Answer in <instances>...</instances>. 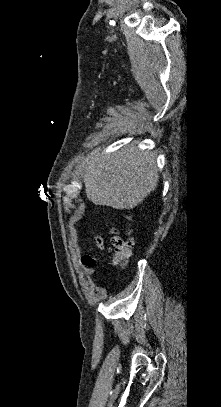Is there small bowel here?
Masks as SVG:
<instances>
[{
    "label": "small bowel",
    "instance_id": "c3829d8e",
    "mask_svg": "<svg viewBox=\"0 0 221 407\" xmlns=\"http://www.w3.org/2000/svg\"><path fill=\"white\" fill-rule=\"evenodd\" d=\"M95 245L98 250V253L100 254L103 252L105 248L104 241L101 237L95 236L94 237ZM99 254H92L91 249H87L85 253L81 257V267L83 271L88 275V276H94L99 273V270L95 268V265L98 260ZM90 285V283H87Z\"/></svg>",
    "mask_w": 221,
    "mask_h": 407
}]
</instances>
